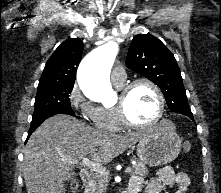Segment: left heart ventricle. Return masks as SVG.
Wrapping results in <instances>:
<instances>
[{
  "mask_svg": "<svg viewBox=\"0 0 221 193\" xmlns=\"http://www.w3.org/2000/svg\"><path fill=\"white\" fill-rule=\"evenodd\" d=\"M126 107L129 116L134 121L148 123L155 117L158 111V99L151 87L139 85L127 97Z\"/></svg>",
  "mask_w": 221,
  "mask_h": 193,
  "instance_id": "left-heart-ventricle-1",
  "label": "left heart ventricle"
}]
</instances>
